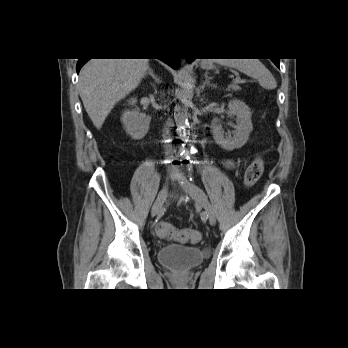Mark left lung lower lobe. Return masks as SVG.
<instances>
[{
  "mask_svg": "<svg viewBox=\"0 0 348 348\" xmlns=\"http://www.w3.org/2000/svg\"><path fill=\"white\" fill-rule=\"evenodd\" d=\"M187 62H192L194 59H186ZM274 62V64L279 68V59H276V60H272Z\"/></svg>",
  "mask_w": 348,
  "mask_h": 348,
  "instance_id": "1",
  "label": "left lung lower lobe"
}]
</instances>
